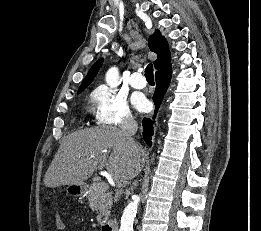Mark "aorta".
Instances as JSON below:
<instances>
[{
  "label": "aorta",
  "instance_id": "aorta-1",
  "mask_svg": "<svg viewBox=\"0 0 261 231\" xmlns=\"http://www.w3.org/2000/svg\"><path fill=\"white\" fill-rule=\"evenodd\" d=\"M105 80L110 87H117L119 85L118 69L115 67L109 69L106 73ZM139 201L140 198L136 197L126 206L121 218L119 231H133V222L136 217Z\"/></svg>",
  "mask_w": 261,
  "mask_h": 231
}]
</instances>
